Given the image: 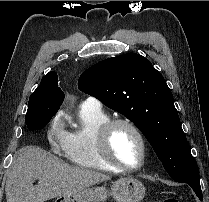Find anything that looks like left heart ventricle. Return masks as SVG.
Here are the masks:
<instances>
[{"label": "left heart ventricle", "mask_w": 209, "mask_h": 202, "mask_svg": "<svg viewBox=\"0 0 209 202\" xmlns=\"http://www.w3.org/2000/svg\"><path fill=\"white\" fill-rule=\"evenodd\" d=\"M113 157L127 166H136L141 160V145L137 135L127 126H116L110 136Z\"/></svg>", "instance_id": "obj_1"}]
</instances>
